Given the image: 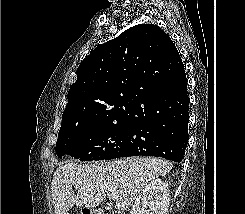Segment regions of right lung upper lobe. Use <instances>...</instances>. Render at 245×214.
<instances>
[{
    "mask_svg": "<svg viewBox=\"0 0 245 214\" xmlns=\"http://www.w3.org/2000/svg\"><path fill=\"white\" fill-rule=\"evenodd\" d=\"M177 55L174 43L157 25L125 30L80 63L63 116L100 121L135 114L154 93L171 86L178 72L184 73Z\"/></svg>",
    "mask_w": 245,
    "mask_h": 214,
    "instance_id": "obj_1",
    "label": "right lung upper lobe"
}]
</instances>
